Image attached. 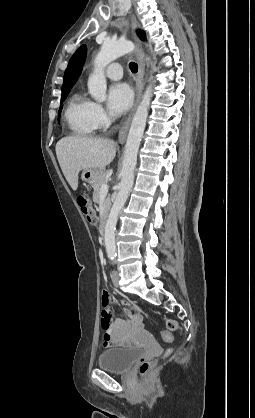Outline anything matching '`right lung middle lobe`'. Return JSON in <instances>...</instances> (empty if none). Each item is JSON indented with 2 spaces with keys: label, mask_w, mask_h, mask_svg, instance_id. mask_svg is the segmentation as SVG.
<instances>
[{
  "label": "right lung middle lobe",
  "mask_w": 255,
  "mask_h": 418,
  "mask_svg": "<svg viewBox=\"0 0 255 418\" xmlns=\"http://www.w3.org/2000/svg\"><path fill=\"white\" fill-rule=\"evenodd\" d=\"M69 91H70V89L65 90V91H62V96H61L62 101H64V100H65V98H66V96L68 95ZM62 107H63V104H62V102H61V104H60V109H59V113H58V116H59V115H60V113H61V109H62Z\"/></svg>",
  "instance_id": "obj_1"
}]
</instances>
